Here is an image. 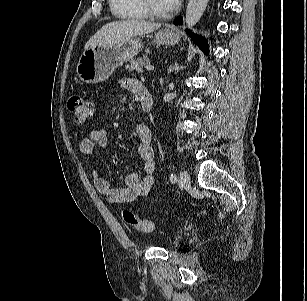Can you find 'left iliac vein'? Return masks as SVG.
<instances>
[{
  "label": "left iliac vein",
  "instance_id": "1",
  "mask_svg": "<svg viewBox=\"0 0 307 301\" xmlns=\"http://www.w3.org/2000/svg\"><path fill=\"white\" fill-rule=\"evenodd\" d=\"M180 185L187 189L191 186V178H190V175L188 174V172H186L185 170H182L180 172Z\"/></svg>",
  "mask_w": 307,
  "mask_h": 301
}]
</instances>
